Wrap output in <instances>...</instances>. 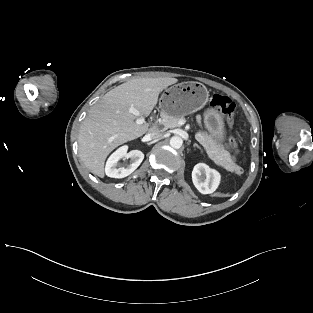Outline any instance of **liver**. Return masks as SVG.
Segmentation results:
<instances>
[{"mask_svg": "<svg viewBox=\"0 0 313 313\" xmlns=\"http://www.w3.org/2000/svg\"><path fill=\"white\" fill-rule=\"evenodd\" d=\"M176 78H136L107 92L82 122L78 137L79 156L95 175L104 177L107 156L116 147L141 137L149 124H137L138 117L151 113L160 92L175 84ZM134 107L141 113H129Z\"/></svg>", "mask_w": 313, "mask_h": 313, "instance_id": "liver-1", "label": "liver"}]
</instances>
